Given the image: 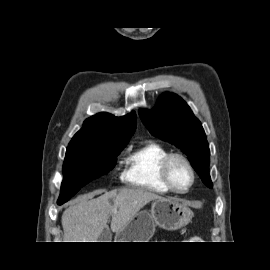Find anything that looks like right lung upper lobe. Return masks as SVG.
<instances>
[{"label":"right lung upper lobe","instance_id":"obj_1","mask_svg":"<svg viewBox=\"0 0 270 270\" xmlns=\"http://www.w3.org/2000/svg\"><path fill=\"white\" fill-rule=\"evenodd\" d=\"M136 128V114L123 117L98 113L84 121L83 127L72 138V145H107L128 142Z\"/></svg>","mask_w":270,"mask_h":270}]
</instances>
